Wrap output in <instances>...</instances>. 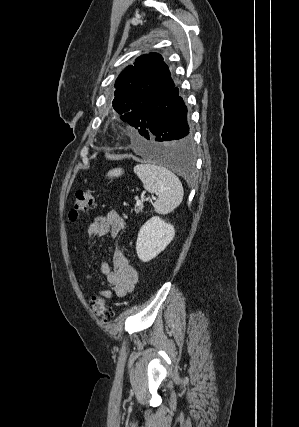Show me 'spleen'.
Returning a JSON list of instances; mask_svg holds the SVG:
<instances>
[{"mask_svg":"<svg viewBox=\"0 0 299 427\" xmlns=\"http://www.w3.org/2000/svg\"><path fill=\"white\" fill-rule=\"evenodd\" d=\"M134 173L149 193H155L158 199L154 210L159 214H168L177 208L183 199V187L179 178L170 170L156 164H138Z\"/></svg>","mask_w":299,"mask_h":427,"instance_id":"1","label":"spleen"}]
</instances>
